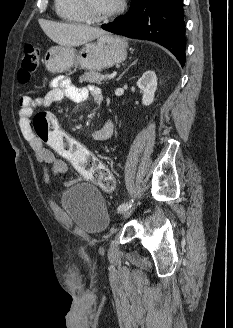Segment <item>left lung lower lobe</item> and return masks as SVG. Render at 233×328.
I'll list each match as a JSON object with an SVG mask.
<instances>
[{
  "instance_id": "0a47b994",
  "label": "left lung lower lobe",
  "mask_w": 233,
  "mask_h": 328,
  "mask_svg": "<svg viewBox=\"0 0 233 328\" xmlns=\"http://www.w3.org/2000/svg\"><path fill=\"white\" fill-rule=\"evenodd\" d=\"M183 0H132L127 14L101 27L129 38L156 42L185 63Z\"/></svg>"
}]
</instances>
